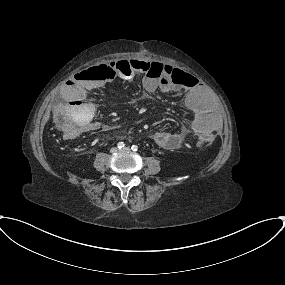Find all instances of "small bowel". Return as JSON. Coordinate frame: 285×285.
Returning a JSON list of instances; mask_svg holds the SVG:
<instances>
[{"mask_svg":"<svg viewBox=\"0 0 285 285\" xmlns=\"http://www.w3.org/2000/svg\"><path fill=\"white\" fill-rule=\"evenodd\" d=\"M149 65L150 61H145ZM98 67V66H96ZM187 76L188 84L175 85L168 87L162 85L158 80L146 76L143 78V86L148 92L162 90L167 93H183L184 106L191 113V122L189 128L181 127L175 131H157L153 133L152 140L160 148L171 150L180 147L185 141L190 131L200 137L203 134H214L218 129V121L205 106L206 93L205 90L195 83V78L188 72H183ZM113 77L107 74L102 79L87 80L79 76V78H70L61 89V96L65 101L66 108L76 110L75 117L76 130L68 134V137H78L81 134L96 130L101 127V122L92 120L91 117L95 113L93 104L88 100L91 91L103 87L111 81ZM89 117L88 122H83L84 118Z\"/></svg>","mask_w":285,"mask_h":285,"instance_id":"1","label":"small bowel"}]
</instances>
